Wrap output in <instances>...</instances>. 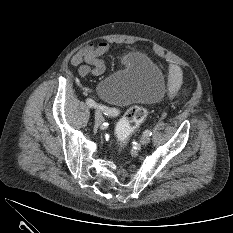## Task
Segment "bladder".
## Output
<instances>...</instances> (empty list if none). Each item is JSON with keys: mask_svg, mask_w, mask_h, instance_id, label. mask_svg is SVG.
I'll return each instance as SVG.
<instances>
[{"mask_svg": "<svg viewBox=\"0 0 233 233\" xmlns=\"http://www.w3.org/2000/svg\"><path fill=\"white\" fill-rule=\"evenodd\" d=\"M166 91L161 69L146 54L131 52L122 67L97 86L99 97L116 107L159 102Z\"/></svg>", "mask_w": 233, "mask_h": 233, "instance_id": "bladder-1", "label": "bladder"}]
</instances>
